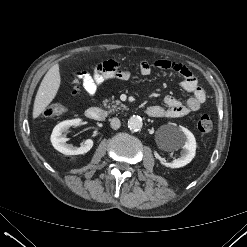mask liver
Returning a JSON list of instances; mask_svg holds the SVG:
<instances>
[{
  "label": "liver",
  "mask_w": 247,
  "mask_h": 247,
  "mask_svg": "<svg viewBox=\"0 0 247 247\" xmlns=\"http://www.w3.org/2000/svg\"><path fill=\"white\" fill-rule=\"evenodd\" d=\"M59 65H53L45 74L37 91L34 106L33 118H37L55 98L60 87Z\"/></svg>",
  "instance_id": "6515ba94"
}]
</instances>
